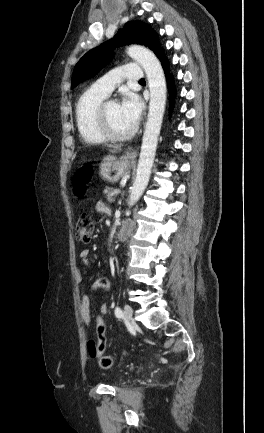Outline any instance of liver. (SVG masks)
Returning <instances> with one entry per match:
<instances>
[{"label":"liver","mask_w":264,"mask_h":433,"mask_svg":"<svg viewBox=\"0 0 264 433\" xmlns=\"http://www.w3.org/2000/svg\"><path fill=\"white\" fill-rule=\"evenodd\" d=\"M110 147H113L114 150H118V149H120V146H110Z\"/></svg>","instance_id":"liver-1"}]
</instances>
